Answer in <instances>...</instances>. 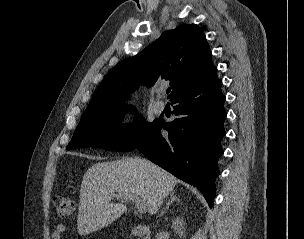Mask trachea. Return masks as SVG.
Listing matches in <instances>:
<instances>
[{
	"label": "trachea",
	"instance_id": "obj_1",
	"mask_svg": "<svg viewBox=\"0 0 304 239\" xmlns=\"http://www.w3.org/2000/svg\"><path fill=\"white\" fill-rule=\"evenodd\" d=\"M170 91H171V88H168L167 91H166V93L168 94Z\"/></svg>",
	"mask_w": 304,
	"mask_h": 239
}]
</instances>
